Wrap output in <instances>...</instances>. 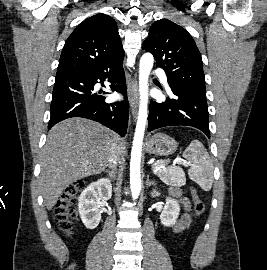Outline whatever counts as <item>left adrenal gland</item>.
Listing matches in <instances>:
<instances>
[{"instance_id": "a2214340", "label": "left adrenal gland", "mask_w": 267, "mask_h": 270, "mask_svg": "<svg viewBox=\"0 0 267 270\" xmlns=\"http://www.w3.org/2000/svg\"><path fill=\"white\" fill-rule=\"evenodd\" d=\"M153 183H154V181L150 180V179H149V175H147L146 185H147V186H150V185L153 184Z\"/></svg>"}]
</instances>
